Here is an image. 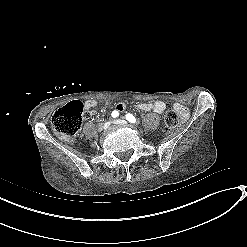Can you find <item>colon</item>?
Listing matches in <instances>:
<instances>
[{
    "label": "colon",
    "mask_w": 247,
    "mask_h": 247,
    "mask_svg": "<svg viewBox=\"0 0 247 247\" xmlns=\"http://www.w3.org/2000/svg\"><path fill=\"white\" fill-rule=\"evenodd\" d=\"M83 102L80 99H73L69 105L58 109L52 118V127L62 139L74 138L80 130L84 120ZM167 131L172 132L178 124L177 112L168 108L164 116Z\"/></svg>",
    "instance_id": "1"
}]
</instances>
